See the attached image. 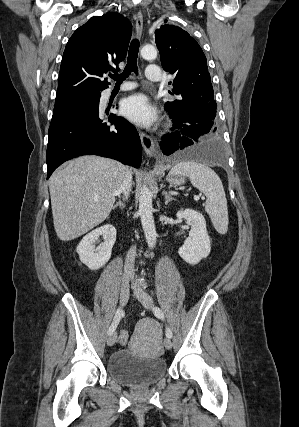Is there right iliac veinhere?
<instances>
[{
    "label": "right iliac vein",
    "mask_w": 299,
    "mask_h": 427,
    "mask_svg": "<svg viewBox=\"0 0 299 427\" xmlns=\"http://www.w3.org/2000/svg\"><path fill=\"white\" fill-rule=\"evenodd\" d=\"M129 299V281L127 279H123L121 282L120 289V304L121 306H125ZM117 339V333L113 332L109 335L107 339L108 346H113Z\"/></svg>",
    "instance_id": "63e3f726"
}]
</instances>
